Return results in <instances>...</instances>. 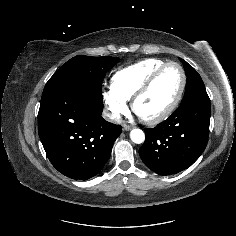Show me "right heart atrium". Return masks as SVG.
<instances>
[{
	"label": "right heart atrium",
	"instance_id": "1",
	"mask_svg": "<svg viewBox=\"0 0 236 236\" xmlns=\"http://www.w3.org/2000/svg\"><path fill=\"white\" fill-rule=\"evenodd\" d=\"M102 98L112 119H118L128 110L127 100L121 97L112 87L102 92Z\"/></svg>",
	"mask_w": 236,
	"mask_h": 236
}]
</instances>
